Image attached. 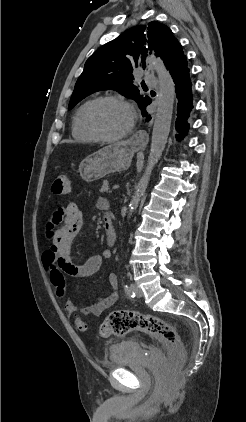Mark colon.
I'll use <instances>...</instances> for the list:
<instances>
[{"label": "colon", "mask_w": 246, "mask_h": 422, "mask_svg": "<svg viewBox=\"0 0 246 422\" xmlns=\"http://www.w3.org/2000/svg\"><path fill=\"white\" fill-rule=\"evenodd\" d=\"M72 182L67 174H59L54 179L51 191L56 195H65L71 191ZM63 269L58 261L52 263L51 282L56 287L58 296L65 295ZM75 324L81 331L86 330V324L75 318ZM132 331L149 334L159 340L168 350L171 364L179 366L183 363L185 350L176 329L166 320L148 314L134 311H113L105 318L100 326L103 337L123 336Z\"/></svg>", "instance_id": "5ec220e1"}]
</instances>
